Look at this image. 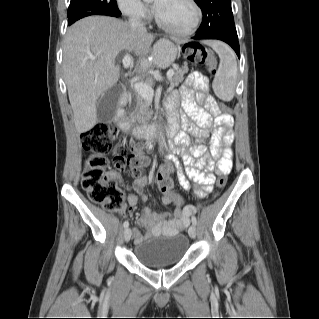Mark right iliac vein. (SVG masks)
<instances>
[{
	"label": "right iliac vein",
	"mask_w": 319,
	"mask_h": 319,
	"mask_svg": "<svg viewBox=\"0 0 319 319\" xmlns=\"http://www.w3.org/2000/svg\"><path fill=\"white\" fill-rule=\"evenodd\" d=\"M131 235H132L131 229L130 228H126L124 230V240H125V242H128L130 240Z\"/></svg>",
	"instance_id": "1"
}]
</instances>
